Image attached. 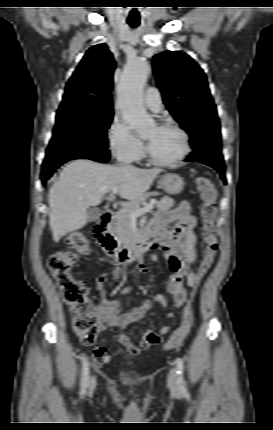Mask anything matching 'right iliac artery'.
I'll list each match as a JSON object with an SVG mask.
<instances>
[{"instance_id":"right-iliac-artery-1","label":"right iliac artery","mask_w":273,"mask_h":430,"mask_svg":"<svg viewBox=\"0 0 273 430\" xmlns=\"http://www.w3.org/2000/svg\"><path fill=\"white\" fill-rule=\"evenodd\" d=\"M129 288H125L122 292L127 293ZM82 376H81V394L84 395L89 385V364L85 356L82 357Z\"/></svg>"}]
</instances>
